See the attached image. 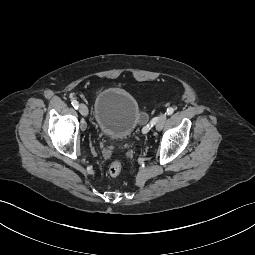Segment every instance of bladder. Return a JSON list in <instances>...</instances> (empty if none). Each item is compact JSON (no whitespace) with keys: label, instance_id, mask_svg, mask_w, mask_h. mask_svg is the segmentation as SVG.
<instances>
[{"label":"bladder","instance_id":"obj_1","mask_svg":"<svg viewBox=\"0 0 255 255\" xmlns=\"http://www.w3.org/2000/svg\"><path fill=\"white\" fill-rule=\"evenodd\" d=\"M93 113L100 133L113 139L130 136L142 121L137 99L117 86L107 87L98 93Z\"/></svg>","mask_w":255,"mask_h":255}]
</instances>
